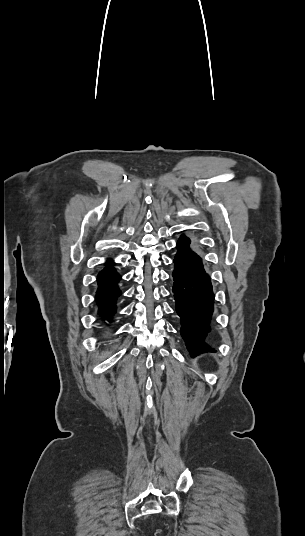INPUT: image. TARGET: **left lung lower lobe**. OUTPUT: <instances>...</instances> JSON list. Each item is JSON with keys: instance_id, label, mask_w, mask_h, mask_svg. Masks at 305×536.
Returning <instances> with one entry per match:
<instances>
[{"instance_id": "obj_1", "label": "left lung lower lobe", "mask_w": 305, "mask_h": 536, "mask_svg": "<svg viewBox=\"0 0 305 536\" xmlns=\"http://www.w3.org/2000/svg\"><path fill=\"white\" fill-rule=\"evenodd\" d=\"M191 240L182 235L177 242L172 273L176 312L181 318V335L192 356L214 351L207 343L214 294L202 259L190 249Z\"/></svg>"}]
</instances>
